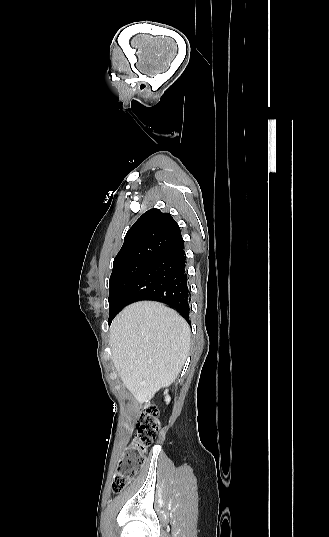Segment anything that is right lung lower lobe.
Returning a JSON list of instances; mask_svg holds the SVG:
<instances>
[{
    "label": "right lung lower lobe",
    "mask_w": 329,
    "mask_h": 537,
    "mask_svg": "<svg viewBox=\"0 0 329 537\" xmlns=\"http://www.w3.org/2000/svg\"><path fill=\"white\" fill-rule=\"evenodd\" d=\"M184 249L182 240L169 251L151 261L124 293L121 308L141 299L155 300L170 305L189 321L191 295L188 288ZM112 320L109 321V324Z\"/></svg>",
    "instance_id": "right-lung-lower-lobe-1"
}]
</instances>
